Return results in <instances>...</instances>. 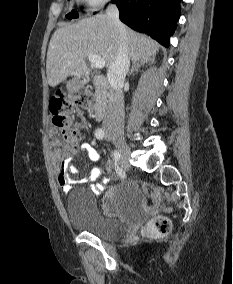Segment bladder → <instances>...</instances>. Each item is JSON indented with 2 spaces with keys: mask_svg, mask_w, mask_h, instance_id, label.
Wrapping results in <instances>:
<instances>
[{
  "mask_svg": "<svg viewBox=\"0 0 233 284\" xmlns=\"http://www.w3.org/2000/svg\"><path fill=\"white\" fill-rule=\"evenodd\" d=\"M112 198L118 204L134 206L140 203L141 195L134 185L123 183L113 190ZM67 213L75 229L88 232L103 240H114L126 230L122 220L101 213L94 196L84 189H76L69 194Z\"/></svg>",
  "mask_w": 233,
  "mask_h": 284,
  "instance_id": "obj_1",
  "label": "bladder"
}]
</instances>
